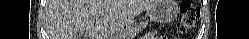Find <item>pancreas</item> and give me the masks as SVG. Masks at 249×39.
<instances>
[{
	"label": "pancreas",
	"mask_w": 249,
	"mask_h": 39,
	"mask_svg": "<svg viewBox=\"0 0 249 39\" xmlns=\"http://www.w3.org/2000/svg\"><path fill=\"white\" fill-rule=\"evenodd\" d=\"M147 26V22H140L139 24H135L131 28L127 29L126 36H134L141 32L143 28Z\"/></svg>",
	"instance_id": "pancreas-1"
}]
</instances>
